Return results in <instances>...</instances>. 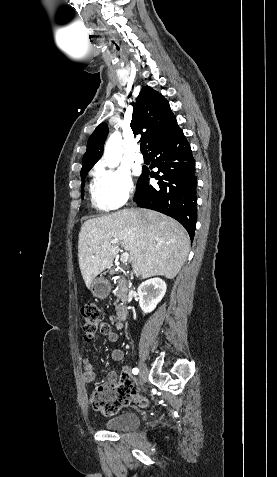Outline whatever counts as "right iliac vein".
I'll use <instances>...</instances> for the list:
<instances>
[{"instance_id": "right-iliac-vein-1", "label": "right iliac vein", "mask_w": 277, "mask_h": 477, "mask_svg": "<svg viewBox=\"0 0 277 477\" xmlns=\"http://www.w3.org/2000/svg\"><path fill=\"white\" fill-rule=\"evenodd\" d=\"M147 374H148V369L146 364H144L143 362H140L139 363V379L141 384L145 383L147 379Z\"/></svg>"}]
</instances>
